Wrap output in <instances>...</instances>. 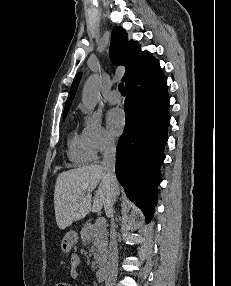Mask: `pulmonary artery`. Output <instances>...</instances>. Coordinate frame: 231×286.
<instances>
[{"instance_id":"obj_1","label":"pulmonary artery","mask_w":231,"mask_h":286,"mask_svg":"<svg viewBox=\"0 0 231 286\" xmlns=\"http://www.w3.org/2000/svg\"><path fill=\"white\" fill-rule=\"evenodd\" d=\"M106 98L110 104H118L121 102V95L116 89L110 91Z\"/></svg>"}]
</instances>
